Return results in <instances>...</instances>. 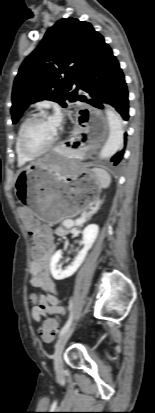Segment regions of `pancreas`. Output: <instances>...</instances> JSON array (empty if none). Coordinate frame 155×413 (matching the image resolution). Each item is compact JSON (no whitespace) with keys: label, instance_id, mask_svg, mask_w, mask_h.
<instances>
[{"label":"pancreas","instance_id":"1","mask_svg":"<svg viewBox=\"0 0 155 413\" xmlns=\"http://www.w3.org/2000/svg\"><path fill=\"white\" fill-rule=\"evenodd\" d=\"M66 222H67V221H66ZM63 226H64V224H63L62 226H60V227L56 230V234H57L58 236H64V235H66V234L69 233L70 229L64 228Z\"/></svg>","mask_w":155,"mask_h":413}]
</instances>
